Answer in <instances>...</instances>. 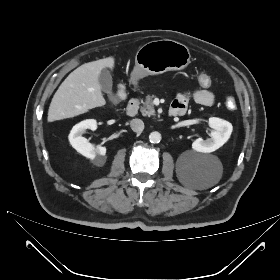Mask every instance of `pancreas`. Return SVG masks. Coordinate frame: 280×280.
Here are the masks:
<instances>
[{"label":"pancreas","mask_w":280,"mask_h":280,"mask_svg":"<svg viewBox=\"0 0 280 280\" xmlns=\"http://www.w3.org/2000/svg\"><path fill=\"white\" fill-rule=\"evenodd\" d=\"M154 95H147L143 105L140 108V111L143 116H153L155 115V109L153 104Z\"/></svg>","instance_id":"obj_1"}]
</instances>
